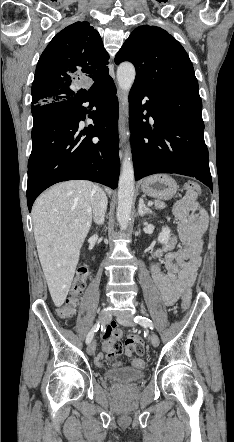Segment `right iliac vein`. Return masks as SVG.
Here are the masks:
<instances>
[{
  "instance_id": "right-iliac-vein-1",
  "label": "right iliac vein",
  "mask_w": 234,
  "mask_h": 442,
  "mask_svg": "<svg viewBox=\"0 0 234 442\" xmlns=\"http://www.w3.org/2000/svg\"><path fill=\"white\" fill-rule=\"evenodd\" d=\"M110 319V314L109 312L102 310L99 314V320L101 322V324L105 325ZM96 350V342L92 341L89 343L88 347H87V353L89 355H93L95 353Z\"/></svg>"
}]
</instances>
